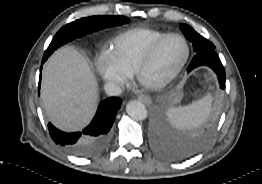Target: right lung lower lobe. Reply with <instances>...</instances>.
<instances>
[{
    "label": "right lung lower lobe",
    "instance_id": "98d812e1",
    "mask_svg": "<svg viewBox=\"0 0 262 184\" xmlns=\"http://www.w3.org/2000/svg\"><path fill=\"white\" fill-rule=\"evenodd\" d=\"M121 104L122 100L118 97L107 98L99 104L94 119L82 132L65 133L49 123V134L57 144L73 154L83 156L98 154L110 141V129Z\"/></svg>",
    "mask_w": 262,
    "mask_h": 184
}]
</instances>
